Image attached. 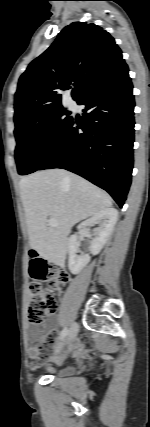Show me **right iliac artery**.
Segmentation results:
<instances>
[{"label": "right iliac artery", "mask_w": 150, "mask_h": 427, "mask_svg": "<svg viewBox=\"0 0 150 427\" xmlns=\"http://www.w3.org/2000/svg\"><path fill=\"white\" fill-rule=\"evenodd\" d=\"M68 334V328H64L61 332L60 339H63Z\"/></svg>", "instance_id": "right-iliac-artery-1"}]
</instances>
